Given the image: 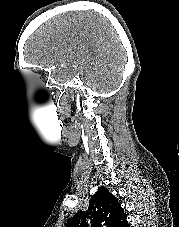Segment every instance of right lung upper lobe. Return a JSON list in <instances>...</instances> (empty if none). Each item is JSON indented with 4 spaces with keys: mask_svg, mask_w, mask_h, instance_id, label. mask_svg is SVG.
Segmentation results:
<instances>
[{
    "mask_svg": "<svg viewBox=\"0 0 179 227\" xmlns=\"http://www.w3.org/2000/svg\"><path fill=\"white\" fill-rule=\"evenodd\" d=\"M86 216L91 219L93 227L104 223L107 227H129L126 214L116 197L105 187H99L91 197L88 212L78 211L67 223L66 227H87Z\"/></svg>",
    "mask_w": 179,
    "mask_h": 227,
    "instance_id": "cb5924a9",
    "label": "right lung upper lobe"
}]
</instances>
